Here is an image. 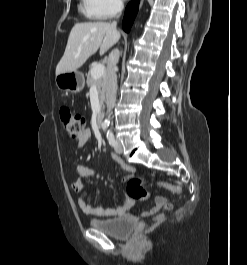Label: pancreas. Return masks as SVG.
Listing matches in <instances>:
<instances>
[{"label": "pancreas", "mask_w": 247, "mask_h": 265, "mask_svg": "<svg viewBox=\"0 0 247 265\" xmlns=\"http://www.w3.org/2000/svg\"><path fill=\"white\" fill-rule=\"evenodd\" d=\"M96 66V65H94ZM92 66L91 69L88 72L87 75V87H91L93 85H96L98 93H99V98H100V103L102 104L105 98V92H106V88H107V80H106V76L102 75L101 77H99L98 79H94L91 75V70L94 67Z\"/></svg>", "instance_id": "1"}]
</instances>
